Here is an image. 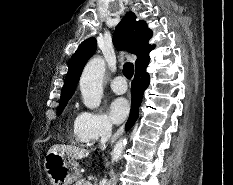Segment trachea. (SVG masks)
<instances>
[{
  "label": "trachea",
  "mask_w": 233,
  "mask_h": 185,
  "mask_svg": "<svg viewBox=\"0 0 233 185\" xmlns=\"http://www.w3.org/2000/svg\"><path fill=\"white\" fill-rule=\"evenodd\" d=\"M134 73V66L132 63L127 62L123 66V74L127 79H131Z\"/></svg>",
  "instance_id": "3493384b"
}]
</instances>
